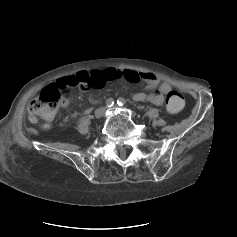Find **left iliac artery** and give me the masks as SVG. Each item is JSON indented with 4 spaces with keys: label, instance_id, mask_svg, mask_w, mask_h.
<instances>
[{
    "label": "left iliac artery",
    "instance_id": "1",
    "mask_svg": "<svg viewBox=\"0 0 237 237\" xmlns=\"http://www.w3.org/2000/svg\"><path fill=\"white\" fill-rule=\"evenodd\" d=\"M124 103H125V100H124L123 98H119V99L117 100V104H118L119 106L124 105Z\"/></svg>",
    "mask_w": 237,
    "mask_h": 237
}]
</instances>
